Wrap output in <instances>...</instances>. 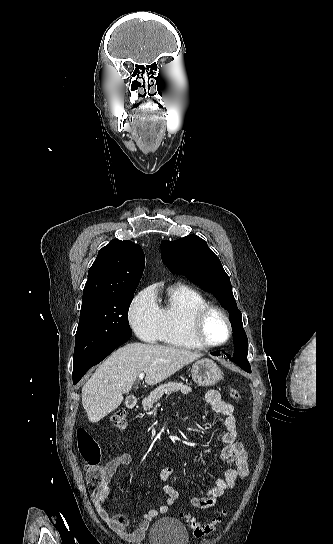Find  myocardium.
<instances>
[{
    "label": "myocardium",
    "mask_w": 333,
    "mask_h": 544,
    "mask_svg": "<svg viewBox=\"0 0 333 544\" xmlns=\"http://www.w3.org/2000/svg\"><path fill=\"white\" fill-rule=\"evenodd\" d=\"M212 313L219 314L226 323L228 334L226 339L222 342H210L206 338L205 323ZM191 329L194 339L204 348H215L223 346L230 341L233 334V327L228 314L223 308L214 304H207L195 312L192 319Z\"/></svg>",
    "instance_id": "f54148a6"
}]
</instances>
